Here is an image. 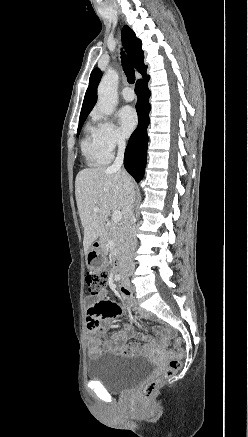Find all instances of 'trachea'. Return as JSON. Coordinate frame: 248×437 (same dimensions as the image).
Here are the masks:
<instances>
[{
  "label": "trachea",
  "instance_id": "trachea-1",
  "mask_svg": "<svg viewBox=\"0 0 248 437\" xmlns=\"http://www.w3.org/2000/svg\"><path fill=\"white\" fill-rule=\"evenodd\" d=\"M121 60H122V67L125 72V75L127 77L128 82L134 83L135 82V71L133 66L131 65L130 61L124 54V52H121Z\"/></svg>",
  "mask_w": 248,
  "mask_h": 437
}]
</instances>
